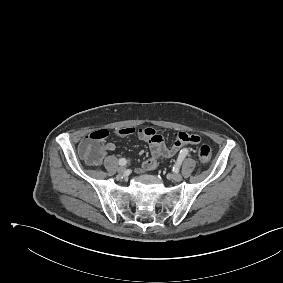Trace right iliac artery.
Listing matches in <instances>:
<instances>
[{"mask_svg":"<svg viewBox=\"0 0 283 283\" xmlns=\"http://www.w3.org/2000/svg\"><path fill=\"white\" fill-rule=\"evenodd\" d=\"M126 164H127V160H126L125 158H121V159L119 160V165L124 166V165H126Z\"/></svg>","mask_w":283,"mask_h":283,"instance_id":"1","label":"right iliac artery"}]
</instances>
